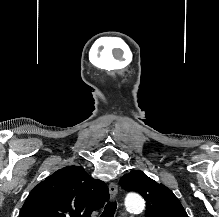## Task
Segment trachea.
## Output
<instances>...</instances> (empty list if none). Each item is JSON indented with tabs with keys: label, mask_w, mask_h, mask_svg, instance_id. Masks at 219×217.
Instances as JSON below:
<instances>
[{
	"label": "trachea",
	"mask_w": 219,
	"mask_h": 217,
	"mask_svg": "<svg viewBox=\"0 0 219 217\" xmlns=\"http://www.w3.org/2000/svg\"><path fill=\"white\" fill-rule=\"evenodd\" d=\"M117 205L116 203H109L105 206V209L100 217H114Z\"/></svg>",
	"instance_id": "obj_1"
}]
</instances>
